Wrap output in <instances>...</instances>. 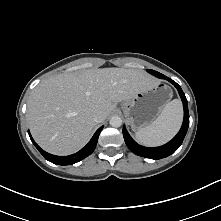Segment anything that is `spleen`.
Instances as JSON below:
<instances>
[{"mask_svg":"<svg viewBox=\"0 0 221 221\" xmlns=\"http://www.w3.org/2000/svg\"><path fill=\"white\" fill-rule=\"evenodd\" d=\"M182 116L181 102L178 99L170 101L150 125L135 133L137 142L150 147L166 143L178 132Z\"/></svg>","mask_w":221,"mask_h":221,"instance_id":"3e777b00","label":"spleen"}]
</instances>
